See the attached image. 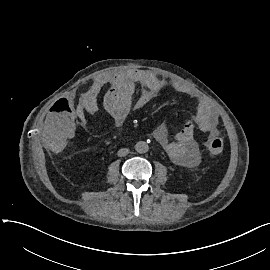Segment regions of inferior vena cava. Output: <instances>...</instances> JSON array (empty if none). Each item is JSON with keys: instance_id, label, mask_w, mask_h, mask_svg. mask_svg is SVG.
<instances>
[{"instance_id": "obj_1", "label": "inferior vena cava", "mask_w": 270, "mask_h": 270, "mask_svg": "<svg viewBox=\"0 0 270 270\" xmlns=\"http://www.w3.org/2000/svg\"><path fill=\"white\" fill-rule=\"evenodd\" d=\"M128 153H129V149L122 148L117 152V155L119 157H122V156H126Z\"/></svg>"}]
</instances>
